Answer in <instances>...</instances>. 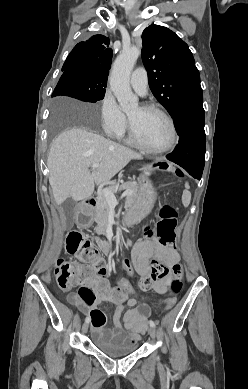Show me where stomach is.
<instances>
[{"instance_id":"0dacf381","label":"stomach","mask_w":248,"mask_h":389,"mask_svg":"<svg viewBox=\"0 0 248 389\" xmlns=\"http://www.w3.org/2000/svg\"><path fill=\"white\" fill-rule=\"evenodd\" d=\"M156 169H159V171H167V174L172 176L176 170V165L161 164L159 161L140 164L138 168L141 171L140 182L135 184L137 190L140 191L137 200L135 204L128 206V213H122L120 215V218L125 220L124 224L126 226H134L135 220H144L150 214V209L153 207L157 196V191L150 180V176ZM87 217L90 218L91 216L88 215Z\"/></svg>"}]
</instances>
